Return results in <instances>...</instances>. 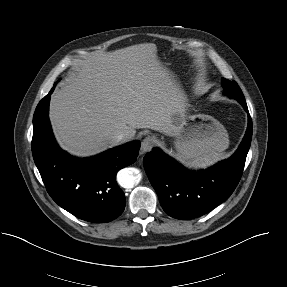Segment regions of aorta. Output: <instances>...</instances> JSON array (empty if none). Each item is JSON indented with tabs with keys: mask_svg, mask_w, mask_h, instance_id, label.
Here are the masks:
<instances>
[{
	"mask_svg": "<svg viewBox=\"0 0 287 287\" xmlns=\"http://www.w3.org/2000/svg\"><path fill=\"white\" fill-rule=\"evenodd\" d=\"M118 181L124 188H132L139 182V176L131 168L123 169L118 174Z\"/></svg>",
	"mask_w": 287,
	"mask_h": 287,
	"instance_id": "762f6f07",
	"label": "aorta"
}]
</instances>
